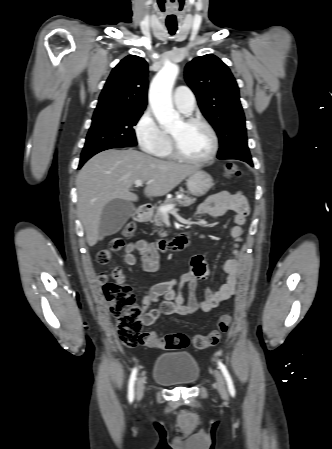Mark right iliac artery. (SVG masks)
I'll list each match as a JSON object with an SVG mask.
<instances>
[{"mask_svg": "<svg viewBox=\"0 0 332 449\" xmlns=\"http://www.w3.org/2000/svg\"><path fill=\"white\" fill-rule=\"evenodd\" d=\"M136 375H137V368H134L131 373L128 384V400L130 403L133 402L134 400V384L136 380Z\"/></svg>", "mask_w": 332, "mask_h": 449, "instance_id": "1", "label": "right iliac artery"}]
</instances>
